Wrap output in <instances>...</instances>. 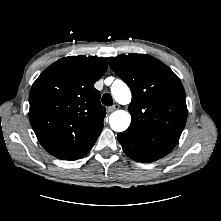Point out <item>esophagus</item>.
Instances as JSON below:
<instances>
[{
    "mask_svg": "<svg viewBox=\"0 0 221 221\" xmlns=\"http://www.w3.org/2000/svg\"><path fill=\"white\" fill-rule=\"evenodd\" d=\"M119 108V105L118 104H114L113 106H110L107 108V111L108 112H113L114 110L118 109Z\"/></svg>",
    "mask_w": 221,
    "mask_h": 221,
    "instance_id": "1",
    "label": "esophagus"
}]
</instances>
